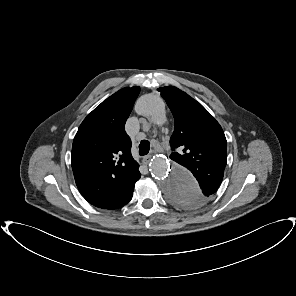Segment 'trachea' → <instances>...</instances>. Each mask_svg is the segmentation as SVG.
Wrapping results in <instances>:
<instances>
[{
	"instance_id": "3493384b",
	"label": "trachea",
	"mask_w": 296,
	"mask_h": 296,
	"mask_svg": "<svg viewBox=\"0 0 296 296\" xmlns=\"http://www.w3.org/2000/svg\"><path fill=\"white\" fill-rule=\"evenodd\" d=\"M150 150V142L147 140H142L139 144V154L140 156L147 155Z\"/></svg>"
}]
</instances>
